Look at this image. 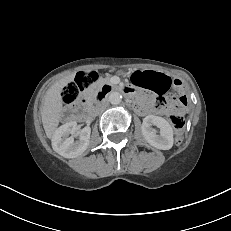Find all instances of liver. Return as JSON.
<instances>
[{
	"label": "liver",
	"mask_w": 231,
	"mask_h": 231,
	"mask_svg": "<svg viewBox=\"0 0 231 231\" xmlns=\"http://www.w3.org/2000/svg\"><path fill=\"white\" fill-rule=\"evenodd\" d=\"M75 73H72L56 83H54L47 91L44 101L41 105L42 124L49 139H52L61 118L63 109V101L61 92L64 86L72 82Z\"/></svg>",
	"instance_id": "6515ba94"
}]
</instances>
